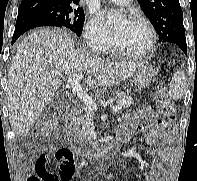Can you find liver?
I'll return each instance as SVG.
<instances>
[{"instance_id":"obj_1","label":"liver","mask_w":197,"mask_h":181,"mask_svg":"<svg viewBox=\"0 0 197 181\" xmlns=\"http://www.w3.org/2000/svg\"><path fill=\"white\" fill-rule=\"evenodd\" d=\"M141 62L110 61L77 48L63 30L40 29L17 47L8 72L7 101L13 132L25 137L53 99L60 81L53 71L80 74L89 88L113 86L134 75ZM82 77V78H83Z\"/></svg>"}]
</instances>
